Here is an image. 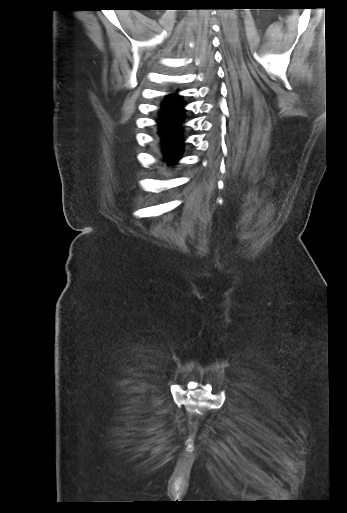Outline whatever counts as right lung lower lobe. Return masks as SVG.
Segmentation results:
<instances>
[{"mask_svg": "<svg viewBox=\"0 0 347 513\" xmlns=\"http://www.w3.org/2000/svg\"><path fill=\"white\" fill-rule=\"evenodd\" d=\"M185 103L178 94L165 96L161 105V116L158 120L160 146L167 163L176 162L182 153L183 127L185 119Z\"/></svg>", "mask_w": 347, "mask_h": 513, "instance_id": "obj_1", "label": "right lung lower lobe"}]
</instances>
